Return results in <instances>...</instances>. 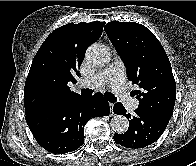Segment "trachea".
I'll return each instance as SVG.
<instances>
[{
    "label": "trachea",
    "mask_w": 196,
    "mask_h": 166,
    "mask_svg": "<svg viewBox=\"0 0 196 166\" xmlns=\"http://www.w3.org/2000/svg\"><path fill=\"white\" fill-rule=\"evenodd\" d=\"M81 93H82V95L90 96V95H92L93 91L88 90V89H83V90H81ZM104 95H105L106 99L110 102H116L117 101V98L111 93L105 92Z\"/></svg>",
    "instance_id": "3493384b"
}]
</instances>
